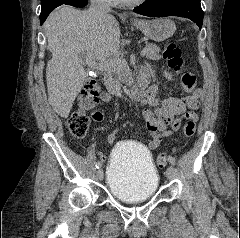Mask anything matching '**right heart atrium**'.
I'll use <instances>...</instances> for the list:
<instances>
[{
	"label": "right heart atrium",
	"instance_id": "right-heart-atrium-1",
	"mask_svg": "<svg viewBox=\"0 0 240 238\" xmlns=\"http://www.w3.org/2000/svg\"><path fill=\"white\" fill-rule=\"evenodd\" d=\"M105 1L113 2V1H115V0H105Z\"/></svg>",
	"mask_w": 240,
	"mask_h": 238
}]
</instances>
